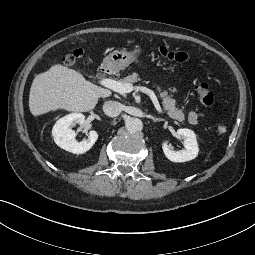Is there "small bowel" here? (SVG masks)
Here are the masks:
<instances>
[{"label": "small bowel", "instance_id": "small-bowel-1", "mask_svg": "<svg viewBox=\"0 0 255 255\" xmlns=\"http://www.w3.org/2000/svg\"><path fill=\"white\" fill-rule=\"evenodd\" d=\"M202 118V115L201 113L195 111V110H191L189 113H188V121L191 123V124H197Z\"/></svg>", "mask_w": 255, "mask_h": 255}]
</instances>
